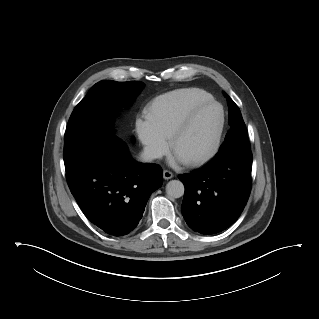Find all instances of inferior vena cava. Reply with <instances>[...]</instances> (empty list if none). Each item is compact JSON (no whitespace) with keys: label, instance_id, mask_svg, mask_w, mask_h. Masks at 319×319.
<instances>
[{"label":"inferior vena cava","instance_id":"1","mask_svg":"<svg viewBox=\"0 0 319 319\" xmlns=\"http://www.w3.org/2000/svg\"><path fill=\"white\" fill-rule=\"evenodd\" d=\"M162 156L161 152L153 147H144L141 154V160L143 162H150L154 159L160 158Z\"/></svg>","mask_w":319,"mask_h":319}]
</instances>
